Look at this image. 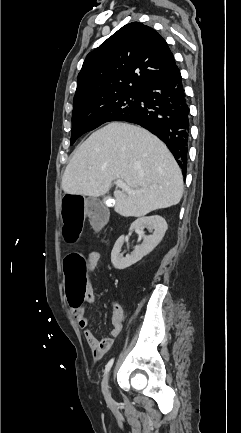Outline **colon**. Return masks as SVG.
I'll use <instances>...</instances> for the list:
<instances>
[{
    "instance_id": "5ec220e1",
    "label": "colon",
    "mask_w": 241,
    "mask_h": 433,
    "mask_svg": "<svg viewBox=\"0 0 241 433\" xmlns=\"http://www.w3.org/2000/svg\"><path fill=\"white\" fill-rule=\"evenodd\" d=\"M64 201L61 207V218L64 221L62 228L65 243H78L82 239V230L86 227L83 214H95V225L102 222L103 214H109V205H102L101 200H83V193L63 192ZM60 266L65 278V296H68V305L79 312L80 305L89 291L87 268L84 258L78 253H72L67 258L60 259Z\"/></svg>"
}]
</instances>
